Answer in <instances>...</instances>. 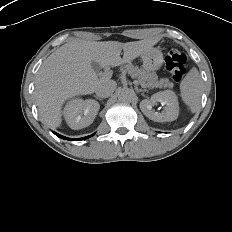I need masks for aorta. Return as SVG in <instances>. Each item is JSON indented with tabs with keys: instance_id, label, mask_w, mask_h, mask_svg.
<instances>
[{
	"instance_id": "obj_1",
	"label": "aorta",
	"mask_w": 232,
	"mask_h": 232,
	"mask_svg": "<svg viewBox=\"0 0 232 232\" xmlns=\"http://www.w3.org/2000/svg\"><path fill=\"white\" fill-rule=\"evenodd\" d=\"M135 96V93L130 88L124 87L118 92V99L123 102H131Z\"/></svg>"
}]
</instances>
